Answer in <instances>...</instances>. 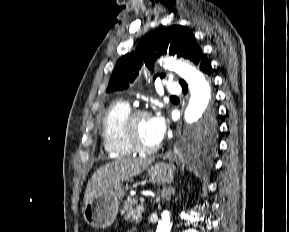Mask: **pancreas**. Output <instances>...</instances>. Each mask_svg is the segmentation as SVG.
Instances as JSON below:
<instances>
[{
    "label": "pancreas",
    "mask_w": 289,
    "mask_h": 232,
    "mask_svg": "<svg viewBox=\"0 0 289 232\" xmlns=\"http://www.w3.org/2000/svg\"><path fill=\"white\" fill-rule=\"evenodd\" d=\"M144 212V207L142 203H138L137 200L128 198L125 202L122 214H124L125 220L131 222L139 223L142 219V213Z\"/></svg>",
    "instance_id": "cf45deb5"
}]
</instances>
